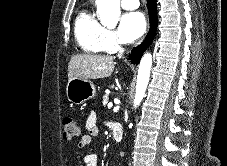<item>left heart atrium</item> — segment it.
<instances>
[{"label": "left heart atrium", "instance_id": "1", "mask_svg": "<svg viewBox=\"0 0 227 166\" xmlns=\"http://www.w3.org/2000/svg\"><path fill=\"white\" fill-rule=\"evenodd\" d=\"M146 20L140 12L126 13L121 17L118 34L124 43H131L145 32Z\"/></svg>", "mask_w": 227, "mask_h": 166}]
</instances>
